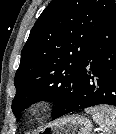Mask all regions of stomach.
I'll list each match as a JSON object with an SVG mask.
<instances>
[{
  "instance_id": "obj_1",
  "label": "stomach",
  "mask_w": 116,
  "mask_h": 134,
  "mask_svg": "<svg viewBox=\"0 0 116 134\" xmlns=\"http://www.w3.org/2000/svg\"><path fill=\"white\" fill-rule=\"evenodd\" d=\"M92 123L80 115H70L47 124L38 134H90Z\"/></svg>"
}]
</instances>
